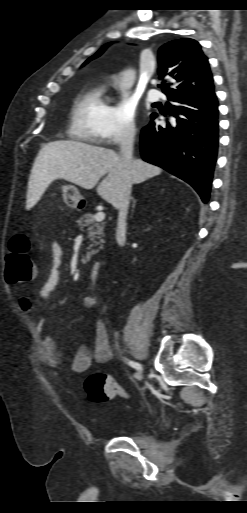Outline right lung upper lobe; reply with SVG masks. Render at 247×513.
<instances>
[{
  "label": "right lung upper lobe",
  "instance_id": "obj_1",
  "mask_svg": "<svg viewBox=\"0 0 247 513\" xmlns=\"http://www.w3.org/2000/svg\"><path fill=\"white\" fill-rule=\"evenodd\" d=\"M108 45H104L85 63L100 56ZM158 62L159 78L167 75L174 80L163 89L167 97L197 96L214 90L208 58L197 41L183 38L165 44L159 50Z\"/></svg>",
  "mask_w": 247,
  "mask_h": 513
}]
</instances>
